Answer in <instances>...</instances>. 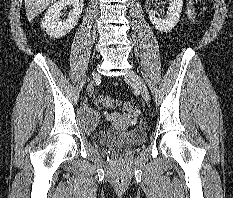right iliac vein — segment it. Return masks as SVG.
<instances>
[{
	"label": "right iliac vein",
	"instance_id": "63e3f726",
	"mask_svg": "<svg viewBox=\"0 0 233 198\" xmlns=\"http://www.w3.org/2000/svg\"><path fill=\"white\" fill-rule=\"evenodd\" d=\"M98 76H99L98 73H96V72L93 73V75H92V80H91V82H90V84H89V86H88V92H89V93H92L93 87H94V80L97 79Z\"/></svg>",
	"mask_w": 233,
	"mask_h": 198
}]
</instances>
